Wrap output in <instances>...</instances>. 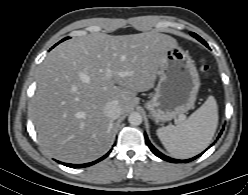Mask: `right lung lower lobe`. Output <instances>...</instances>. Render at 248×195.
I'll return each mask as SVG.
<instances>
[{"instance_id":"1","label":"right lung lower lobe","mask_w":248,"mask_h":195,"mask_svg":"<svg viewBox=\"0 0 248 195\" xmlns=\"http://www.w3.org/2000/svg\"><path fill=\"white\" fill-rule=\"evenodd\" d=\"M109 153H107L106 155H104L103 157H101L100 159L96 160V161H93V162H90V163H85V164H79V165H76V164H68V163H62L63 165L65 166H68V167H72V168H81V167H88V166H91L101 160H103L104 158H106L108 156Z\"/></svg>"}]
</instances>
